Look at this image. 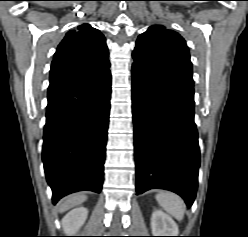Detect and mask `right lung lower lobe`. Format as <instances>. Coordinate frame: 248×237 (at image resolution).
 Returning a JSON list of instances; mask_svg holds the SVG:
<instances>
[{
    "label": "right lung lower lobe",
    "mask_w": 248,
    "mask_h": 237,
    "mask_svg": "<svg viewBox=\"0 0 248 237\" xmlns=\"http://www.w3.org/2000/svg\"><path fill=\"white\" fill-rule=\"evenodd\" d=\"M108 68L48 88L42 159L53 204L73 192L102 189L111 94Z\"/></svg>",
    "instance_id": "obj_1"
}]
</instances>
